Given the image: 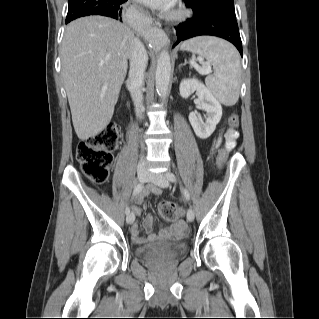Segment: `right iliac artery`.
<instances>
[{
    "label": "right iliac artery",
    "instance_id": "82829eb1",
    "mask_svg": "<svg viewBox=\"0 0 319 319\" xmlns=\"http://www.w3.org/2000/svg\"><path fill=\"white\" fill-rule=\"evenodd\" d=\"M143 187H144L143 183L137 184V185L135 186V188H134L133 196L139 194V193L143 190ZM129 213H130V209H129V207H127V208H126V214H129Z\"/></svg>",
    "mask_w": 319,
    "mask_h": 319
}]
</instances>
